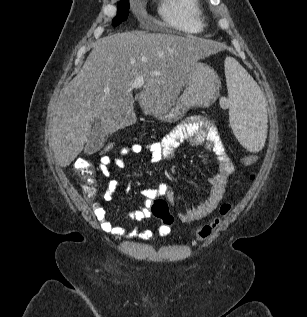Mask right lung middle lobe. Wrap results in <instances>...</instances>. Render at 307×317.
<instances>
[{"instance_id":"right-lung-middle-lobe-1","label":"right lung middle lobe","mask_w":307,"mask_h":317,"mask_svg":"<svg viewBox=\"0 0 307 317\" xmlns=\"http://www.w3.org/2000/svg\"><path fill=\"white\" fill-rule=\"evenodd\" d=\"M129 14V2L120 1L118 4L117 16L113 19V26L119 25L121 22L125 21Z\"/></svg>"}]
</instances>
